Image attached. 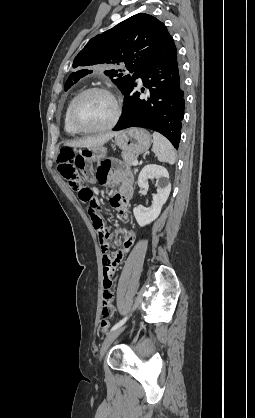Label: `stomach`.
<instances>
[{"label":"stomach","mask_w":255,"mask_h":418,"mask_svg":"<svg viewBox=\"0 0 255 418\" xmlns=\"http://www.w3.org/2000/svg\"><path fill=\"white\" fill-rule=\"evenodd\" d=\"M115 143L123 152L139 155L147 151L151 145V135L148 131L139 128H130L118 132L115 136ZM80 154L87 160L98 162L106 157L104 147L83 148Z\"/></svg>","instance_id":"stomach-1"}]
</instances>
